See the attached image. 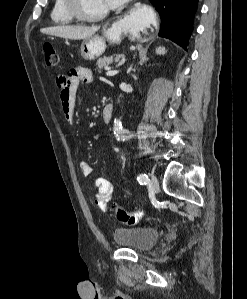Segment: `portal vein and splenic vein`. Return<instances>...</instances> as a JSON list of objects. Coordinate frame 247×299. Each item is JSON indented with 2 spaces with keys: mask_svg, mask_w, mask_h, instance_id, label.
<instances>
[{
  "mask_svg": "<svg viewBox=\"0 0 247 299\" xmlns=\"http://www.w3.org/2000/svg\"><path fill=\"white\" fill-rule=\"evenodd\" d=\"M118 73L117 70H111V68H107V72H106V75L107 76H114Z\"/></svg>",
  "mask_w": 247,
  "mask_h": 299,
  "instance_id": "18ae733b",
  "label": "portal vein and splenic vein"
}]
</instances>
